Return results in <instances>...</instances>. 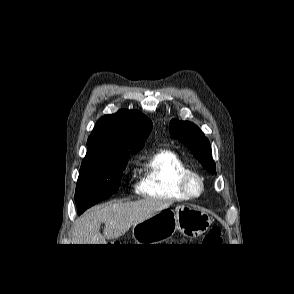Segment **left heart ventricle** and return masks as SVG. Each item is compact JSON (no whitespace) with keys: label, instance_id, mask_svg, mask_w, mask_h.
Returning <instances> with one entry per match:
<instances>
[{"label":"left heart ventricle","instance_id":"b2bd125f","mask_svg":"<svg viewBox=\"0 0 294 294\" xmlns=\"http://www.w3.org/2000/svg\"><path fill=\"white\" fill-rule=\"evenodd\" d=\"M190 185H191V189L194 192H197L199 190V182L197 179H192Z\"/></svg>","mask_w":294,"mask_h":294}]
</instances>
